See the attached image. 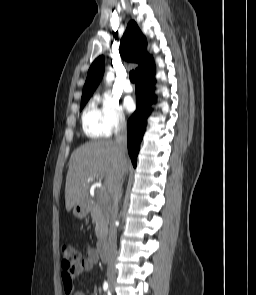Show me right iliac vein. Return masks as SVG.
Listing matches in <instances>:
<instances>
[{
    "label": "right iliac vein",
    "instance_id": "1",
    "mask_svg": "<svg viewBox=\"0 0 256 295\" xmlns=\"http://www.w3.org/2000/svg\"><path fill=\"white\" fill-rule=\"evenodd\" d=\"M107 280H108V283H109L110 290L113 291L114 286H115V283H116V276H115V274L109 273L107 275Z\"/></svg>",
    "mask_w": 256,
    "mask_h": 295
}]
</instances>
